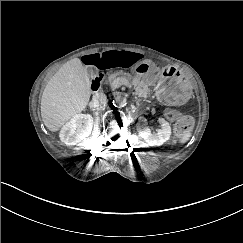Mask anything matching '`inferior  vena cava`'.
<instances>
[{
  "instance_id": "obj_1",
  "label": "inferior vena cava",
  "mask_w": 243,
  "mask_h": 243,
  "mask_svg": "<svg viewBox=\"0 0 243 243\" xmlns=\"http://www.w3.org/2000/svg\"><path fill=\"white\" fill-rule=\"evenodd\" d=\"M93 103L96 104V105H104L107 103V97L104 93H96L94 96H93Z\"/></svg>"
}]
</instances>
